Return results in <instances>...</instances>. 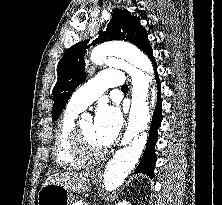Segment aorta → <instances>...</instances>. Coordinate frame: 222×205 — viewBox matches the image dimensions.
I'll return each mask as SVG.
<instances>
[{"instance_id":"obj_1","label":"aorta","mask_w":222,"mask_h":205,"mask_svg":"<svg viewBox=\"0 0 222 205\" xmlns=\"http://www.w3.org/2000/svg\"><path fill=\"white\" fill-rule=\"evenodd\" d=\"M103 63L125 69L133 79L130 121L120 147L105 167L101 191L118 190L142 157L156 105L157 87L148 57L129 43L113 42L99 48Z\"/></svg>"}]
</instances>
